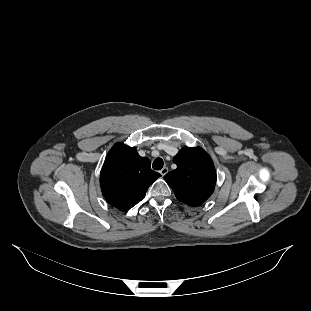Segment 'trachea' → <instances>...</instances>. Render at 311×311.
<instances>
[{
	"label": "trachea",
	"instance_id": "trachea-1",
	"mask_svg": "<svg viewBox=\"0 0 311 311\" xmlns=\"http://www.w3.org/2000/svg\"><path fill=\"white\" fill-rule=\"evenodd\" d=\"M163 164H164V163H163L162 158H156V159L154 160V162H153L152 167H153V169H155V170H160V169H162Z\"/></svg>",
	"mask_w": 311,
	"mask_h": 311
}]
</instances>
